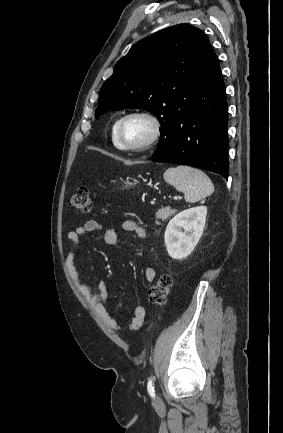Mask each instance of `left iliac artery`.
<instances>
[{
    "instance_id": "obj_1",
    "label": "left iliac artery",
    "mask_w": 283,
    "mask_h": 433,
    "mask_svg": "<svg viewBox=\"0 0 283 433\" xmlns=\"http://www.w3.org/2000/svg\"><path fill=\"white\" fill-rule=\"evenodd\" d=\"M147 390L151 397H155V390L153 386V378L151 377L147 383Z\"/></svg>"
}]
</instances>
